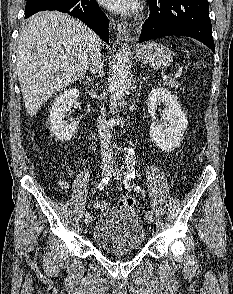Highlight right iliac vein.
<instances>
[{"mask_svg": "<svg viewBox=\"0 0 233 294\" xmlns=\"http://www.w3.org/2000/svg\"><path fill=\"white\" fill-rule=\"evenodd\" d=\"M111 173H112V167H110L108 165L102 166V169H101V175L102 176H104V177L109 176V175H111ZM91 220H92L91 216L86 217L85 218V224L88 225L91 222Z\"/></svg>", "mask_w": 233, "mask_h": 294, "instance_id": "63e3f726", "label": "right iliac vein"}]
</instances>
